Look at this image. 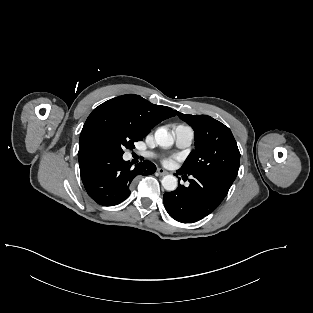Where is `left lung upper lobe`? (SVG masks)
<instances>
[{
  "instance_id": "5c2ea615",
  "label": "left lung upper lobe",
  "mask_w": 313,
  "mask_h": 313,
  "mask_svg": "<svg viewBox=\"0 0 313 313\" xmlns=\"http://www.w3.org/2000/svg\"><path fill=\"white\" fill-rule=\"evenodd\" d=\"M176 113L194 129L195 135V150L179 170L192 176L217 177L233 183L239 169L240 152L231 130L210 116Z\"/></svg>"
}]
</instances>
